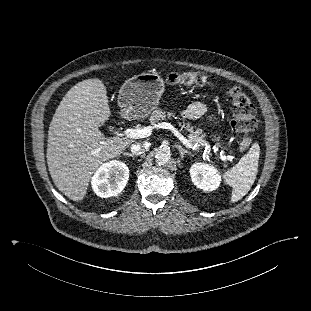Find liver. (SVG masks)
I'll use <instances>...</instances> for the list:
<instances>
[{"label": "liver", "instance_id": "1", "mask_svg": "<svg viewBox=\"0 0 311 311\" xmlns=\"http://www.w3.org/2000/svg\"><path fill=\"white\" fill-rule=\"evenodd\" d=\"M107 90L99 79L73 86L56 109L48 130L47 164L56 187L73 201L86 195L93 173L134 142L106 137L99 127L110 117Z\"/></svg>", "mask_w": 311, "mask_h": 311}]
</instances>
